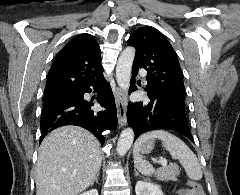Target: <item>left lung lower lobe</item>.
Listing matches in <instances>:
<instances>
[{
    "instance_id": "0a47b994",
    "label": "left lung lower lobe",
    "mask_w": 240,
    "mask_h": 195,
    "mask_svg": "<svg viewBox=\"0 0 240 195\" xmlns=\"http://www.w3.org/2000/svg\"><path fill=\"white\" fill-rule=\"evenodd\" d=\"M132 85L129 93L137 88L133 85L137 74L132 73ZM149 103H129L127 107V121L133 128L135 139L151 130L168 129L179 132L193 141L185 115V105L152 91L148 93Z\"/></svg>"
}]
</instances>
